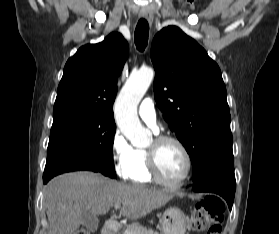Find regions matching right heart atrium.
<instances>
[{"label":"right heart atrium","instance_id":"right-heart-atrium-1","mask_svg":"<svg viewBox=\"0 0 279 234\" xmlns=\"http://www.w3.org/2000/svg\"><path fill=\"white\" fill-rule=\"evenodd\" d=\"M110 148L116 174L122 178H126L132 159L133 148L119 129L112 136Z\"/></svg>","mask_w":279,"mask_h":234}]
</instances>
